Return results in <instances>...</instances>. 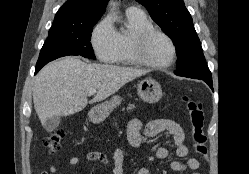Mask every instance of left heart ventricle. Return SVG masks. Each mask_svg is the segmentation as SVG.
Returning <instances> with one entry per match:
<instances>
[{"label":"left heart ventricle","instance_id":"obj_1","mask_svg":"<svg viewBox=\"0 0 249 174\" xmlns=\"http://www.w3.org/2000/svg\"><path fill=\"white\" fill-rule=\"evenodd\" d=\"M145 54L153 62L166 63L172 57V48L165 38L155 35L147 43Z\"/></svg>","mask_w":249,"mask_h":174}]
</instances>
